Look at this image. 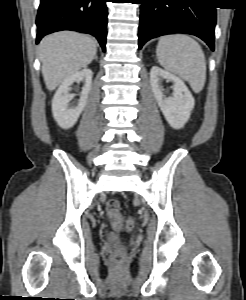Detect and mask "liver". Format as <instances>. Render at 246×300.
Returning a JSON list of instances; mask_svg holds the SVG:
<instances>
[{
  "label": "liver",
  "mask_w": 246,
  "mask_h": 300,
  "mask_svg": "<svg viewBox=\"0 0 246 300\" xmlns=\"http://www.w3.org/2000/svg\"><path fill=\"white\" fill-rule=\"evenodd\" d=\"M96 52L95 40L81 33L61 31L44 37L39 45V59L47 89H56L68 76L87 67Z\"/></svg>",
  "instance_id": "1"
}]
</instances>
